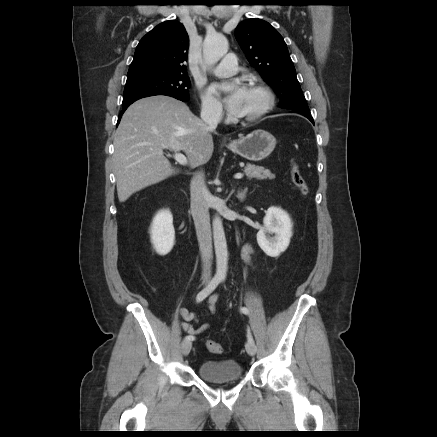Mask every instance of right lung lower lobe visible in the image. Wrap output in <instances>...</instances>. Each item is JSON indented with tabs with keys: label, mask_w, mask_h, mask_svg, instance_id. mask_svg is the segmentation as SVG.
Returning a JSON list of instances; mask_svg holds the SVG:
<instances>
[{
	"label": "right lung lower lobe",
	"mask_w": 437,
	"mask_h": 437,
	"mask_svg": "<svg viewBox=\"0 0 437 437\" xmlns=\"http://www.w3.org/2000/svg\"><path fill=\"white\" fill-rule=\"evenodd\" d=\"M181 101H183V100H181ZM183 102H186V101H183ZM129 105H130V104H129ZM129 105H123V107H122V111H121V113H120V115H119V118H118V123H119V121H120V119H121L122 114L124 113V111L127 109V107H128Z\"/></svg>",
	"instance_id": "right-lung-lower-lobe-1"
}]
</instances>
